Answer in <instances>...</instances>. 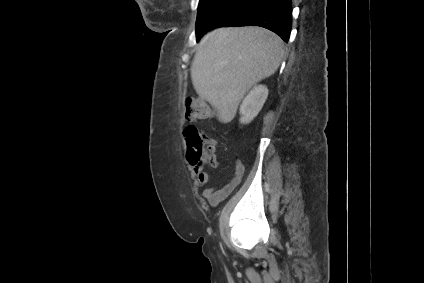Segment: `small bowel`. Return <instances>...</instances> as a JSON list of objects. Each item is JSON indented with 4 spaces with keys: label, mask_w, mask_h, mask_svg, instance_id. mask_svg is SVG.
<instances>
[{
    "label": "small bowel",
    "mask_w": 424,
    "mask_h": 283,
    "mask_svg": "<svg viewBox=\"0 0 424 283\" xmlns=\"http://www.w3.org/2000/svg\"><path fill=\"white\" fill-rule=\"evenodd\" d=\"M191 171L195 177V183L198 186H206L210 182L209 174L204 170L202 163H192L189 161ZM245 172V166L240 159L236 160L235 171L229 181L220 188L207 187L201 195L210 205L216 206L226 199L240 184Z\"/></svg>",
    "instance_id": "1"
}]
</instances>
